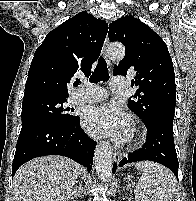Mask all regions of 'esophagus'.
<instances>
[{
  "label": "esophagus",
  "instance_id": "obj_1",
  "mask_svg": "<svg viewBox=\"0 0 196 201\" xmlns=\"http://www.w3.org/2000/svg\"><path fill=\"white\" fill-rule=\"evenodd\" d=\"M108 43H109V40H108V37H106L101 53H102L103 57L105 58L107 64L110 65V59L108 58V55H107ZM122 157H123V154L120 151L113 152V158L115 161H120L122 159Z\"/></svg>",
  "mask_w": 196,
  "mask_h": 201
}]
</instances>
